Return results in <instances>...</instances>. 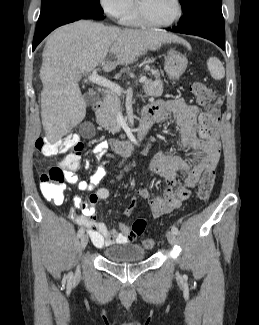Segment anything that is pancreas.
Listing matches in <instances>:
<instances>
[{
  "label": "pancreas",
  "instance_id": "obj_1",
  "mask_svg": "<svg viewBox=\"0 0 259 325\" xmlns=\"http://www.w3.org/2000/svg\"><path fill=\"white\" fill-rule=\"evenodd\" d=\"M155 80H146L143 86L147 96L158 97L163 93V83L159 71H155ZM121 108L119 96L110 91L103 98L100 108L96 112L97 123L112 134L120 132L121 128L116 122L117 113Z\"/></svg>",
  "mask_w": 259,
  "mask_h": 325
}]
</instances>
